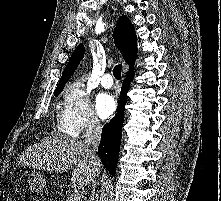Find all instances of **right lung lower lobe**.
<instances>
[{
	"label": "right lung lower lobe",
	"mask_w": 221,
	"mask_h": 201,
	"mask_svg": "<svg viewBox=\"0 0 221 201\" xmlns=\"http://www.w3.org/2000/svg\"><path fill=\"white\" fill-rule=\"evenodd\" d=\"M133 75V71L127 73L121 89L119 110L117 115L103 127L101 141L98 148V153L102 163L112 175H115L116 172L118 154L121 144L122 125L124 121L123 109Z\"/></svg>",
	"instance_id": "right-lung-lower-lobe-1"
}]
</instances>
